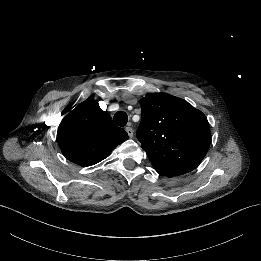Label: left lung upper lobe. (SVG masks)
I'll return each mask as SVG.
<instances>
[{
  "mask_svg": "<svg viewBox=\"0 0 261 261\" xmlns=\"http://www.w3.org/2000/svg\"><path fill=\"white\" fill-rule=\"evenodd\" d=\"M140 105L137 137L155 170L168 177L194 170L210 146L206 116L185 100L166 93L149 94Z\"/></svg>",
  "mask_w": 261,
  "mask_h": 261,
  "instance_id": "5c2ea615",
  "label": "left lung upper lobe"
}]
</instances>
